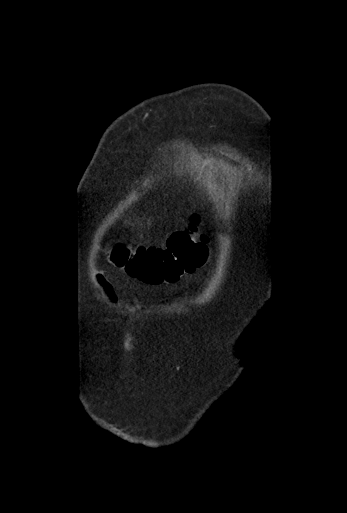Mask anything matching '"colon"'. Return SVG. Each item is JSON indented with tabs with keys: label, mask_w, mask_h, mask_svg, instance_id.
I'll list each match as a JSON object with an SVG mask.
<instances>
[{
	"label": "colon",
	"mask_w": 347,
	"mask_h": 513,
	"mask_svg": "<svg viewBox=\"0 0 347 513\" xmlns=\"http://www.w3.org/2000/svg\"><path fill=\"white\" fill-rule=\"evenodd\" d=\"M114 265L144 284H171L200 268L207 259L206 239L194 220L191 226L170 236L165 248L141 246L136 249L123 240L110 250Z\"/></svg>",
	"instance_id": "1"
}]
</instances>
